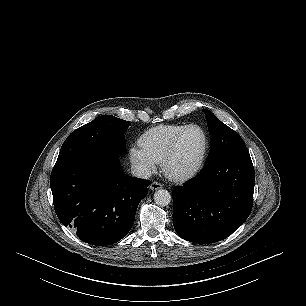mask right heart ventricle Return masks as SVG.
<instances>
[{"label": "right heart ventricle", "instance_id": "obj_1", "mask_svg": "<svg viewBox=\"0 0 306 306\" xmlns=\"http://www.w3.org/2000/svg\"><path fill=\"white\" fill-rule=\"evenodd\" d=\"M184 127L185 125H160L151 128L141 135L139 144L158 163H161L175 137Z\"/></svg>", "mask_w": 306, "mask_h": 306}]
</instances>
